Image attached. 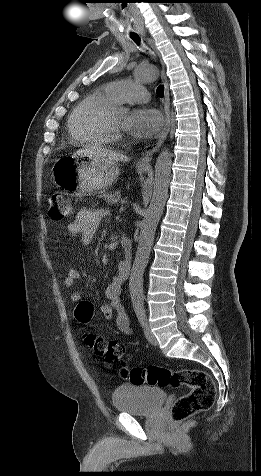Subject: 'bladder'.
Instances as JSON below:
<instances>
[{
	"instance_id": "1",
	"label": "bladder",
	"mask_w": 261,
	"mask_h": 476,
	"mask_svg": "<svg viewBox=\"0 0 261 476\" xmlns=\"http://www.w3.org/2000/svg\"><path fill=\"white\" fill-rule=\"evenodd\" d=\"M166 400L161 387L130 384L116 388L112 394L115 409L134 416H148L159 410Z\"/></svg>"
}]
</instances>
